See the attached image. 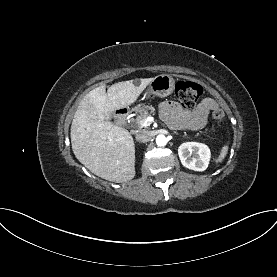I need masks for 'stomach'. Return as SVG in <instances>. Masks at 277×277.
Listing matches in <instances>:
<instances>
[{"instance_id": "0dacf381", "label": "stomach", "mask_w": 277, "mask_h": 277, "mask_svg": "<svg viewBox=\"0 0 277 277\" xmlns=\"http://www.w3.org/2000/svg\"><path fill=\"white\" fill-rule=\"evenodd\" d=\"M174 87L175 81L170 75H158L149 84L147 94H153L159 97H166L173 92Z\"/></svg>"}]
</instances>
